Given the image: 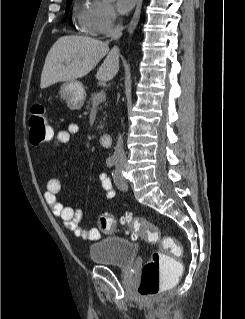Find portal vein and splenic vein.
I'll list each match as a JSON object with an SVG mask.
<instances>
[{"label":"portal vein and splenic vein","mask_w":245,"mask_h":319,"mask_svg":"<svg viewBox=\"0 0 245 319\" xmlns=\"http://www.w3.org/2000/svg\"><path fill=\"white\" fill-rule=\"evenodd\" d=\"M105 97H106V91L101 90L94 101V105H98L99 103H101L105 99Z\"/></svg>","instance_id":"1"}]
</instances>
